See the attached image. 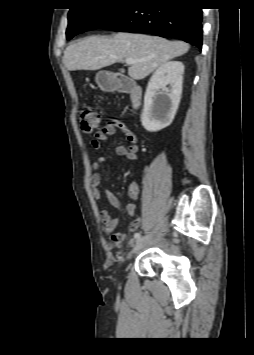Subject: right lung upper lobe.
<instances>
[{
	"instance_id": "right-lung-upper-lobe-1",
	"label": "right lung upper lobe",
	"mask_w": 254,
	"mask_h": 355,
	"mask_svg": "<svg viewBox=\"0 0 254 355\" xmlns=\"http://www.w3.org/2000/svg\"><path fill=\"white\" fill-rule=\"evenodd\" d=\"M120 1H133V0H120Z\"/></svg>"
}]
</instances>
